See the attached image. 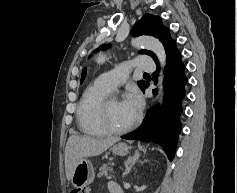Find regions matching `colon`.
I'll return each mask as SVG.
<instances>
[{"label": "colon", "mask_w": 237, "mask_h": 193, "mask_svg": "<svg viewBox=\"0 0 237 193\" xmlns=\"http://www.w3.org/2000/svg\"><path fill=\"white\" fill-rule=\"evenodd\" d=\"M70 193H88V189L85 187H75L70 191Z\"/></svg>", "instance_id": "5ec220e1"}]
</instances>
